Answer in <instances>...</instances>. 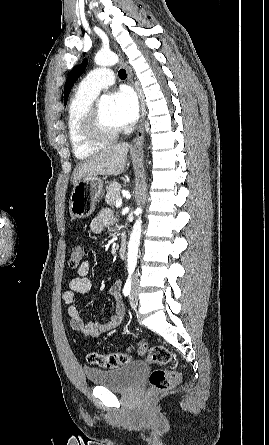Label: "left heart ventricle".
Wrapping results in <instances>:
<instances>
[{
	"mask_svg": "<svg viewBox=\"0 0 269 445\" xmlns=\"http://www.w3.org/2000/svg\"><path fill=\"white\" fill-rule=\"evenodd\" d=\"M100 114L104 123L110 127L117 128L119 125L113 117L112 103H102L99 105Z\"/></svg>",
	"mask_w": 269,
	"mask_h": 445,
	"instance_id": "obj_1",
	"label": "left heart ventricle"
}]
</instances>
